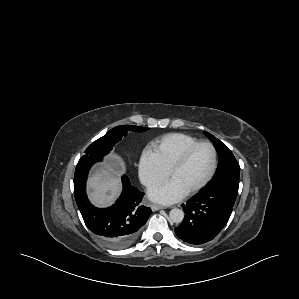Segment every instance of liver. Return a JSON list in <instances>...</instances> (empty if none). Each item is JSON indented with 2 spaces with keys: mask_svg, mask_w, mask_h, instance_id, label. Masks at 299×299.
<instances>
[{
  "mask_svg": "<svg viewBox=\"0 0 299 299\" xmlns=\"http://www.w3.org/2000/svg\"><path fill=\"white\" fill-rule=\"evenodd\" d=\"M114 166L115 163L109 162L97 167L88 180L89 198L97 207L111 205L121 192V181Z\"/></svg>",
  "mask_w": 299,
  "mask_h": 299,
  "instance_id": "obj_1",
  "label": "liver"
}]
</instances>
